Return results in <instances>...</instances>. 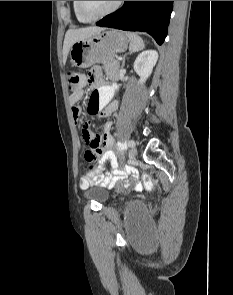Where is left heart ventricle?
<instances>
[{
  "label": "left heart ventricle",
  "mask_w": 233,
  "mask_h": 295,
  "mask_svg": "<svg viewBox=\"0 0 233 295\" xmlns=\"http://www.w3.org/2000/svg\"><path fill=\"white\" fill-rule=\"evenodd\" d=\"M116 1H82L85 12L90 15L101 14L110 9Z\"/></svg>",
  "instance_id": "left-heart-ventricle-1"
}]
</instances>
